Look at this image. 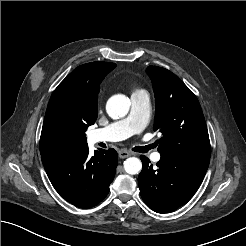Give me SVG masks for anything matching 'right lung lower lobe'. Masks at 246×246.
<instances>
[{"mask_svg":"<svg viewBox=\"0 0 246 246\" xmlns=\"http://www.w3.org/2000/svg\"><path fill=\"white\" fill-rule=\"evenodd\" d=\"M41 157L55 190L80 208H91L107 196L118 160L112 148L96 150L90 157L88 145L82 143L52 147L41 153Z\"/></svg>","mask_w":246,"mask_h":246,"instance_id":"1","label":"right lung lower lobe"}]
</instances>
